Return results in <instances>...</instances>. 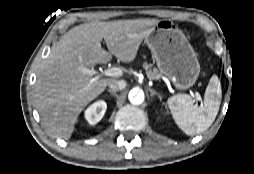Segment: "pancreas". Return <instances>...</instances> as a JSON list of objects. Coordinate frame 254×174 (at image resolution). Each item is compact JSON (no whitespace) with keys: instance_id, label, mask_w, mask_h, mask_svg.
<instances>
[{"instance_id":"cf45deb5","label":"pancreas","mask_w":254,"mask_h":174,"mask_svg":"<svg viewBox=\"0 0 254 174\" xmlns=\"http://www.w3.org/2000/svg\"><path fill=\"white\" fill-rule=\"evenodd\" d=\"M144 68L146 69L147 77L149 79H159L161 74L158 72L157 69H151V66L147 63H144Z\"/></svg>"}]
</instances>
